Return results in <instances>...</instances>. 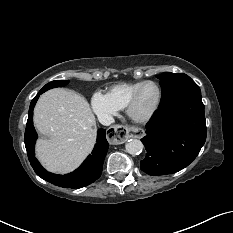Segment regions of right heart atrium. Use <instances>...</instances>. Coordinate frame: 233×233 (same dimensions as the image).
Here are the masks:
<instances>
[{"label": "right heart atrium", "mask_w": 233, "mask_h": 233, "mask_svg": "<svg viewBox=\"0 0 233 233\" xmlns=\"http://www.w3.org/2000/svg\"><path fill=\"white\" fill-rule=\"evenodd\" d=\"M91 107L99 120L109 121L118 113V108L109 100L106 94L101 92L93 93L91 97Z\"/></svg>", "instance_id": "d8ad5b80"}]
</instances>
